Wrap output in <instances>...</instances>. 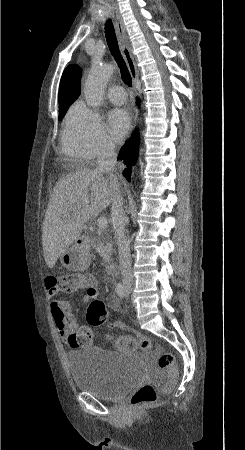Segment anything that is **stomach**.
Here are the masks:
<instances>
[{"label":"stomach","mask_w":245,"mask_h":450,"mask_svg":"<svg viewBox=\"0 0 245 450\" xmlns=\"http://www.w3.org/2000/svg\"><path fill=\"white\" fill-rule=\"evenodd\" d=\"M90 261L88 250L77 242L60 257L61 264L73 271L84 270Z\"/></svg>","instance_id":"stomach-1"}]
</instances>
